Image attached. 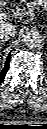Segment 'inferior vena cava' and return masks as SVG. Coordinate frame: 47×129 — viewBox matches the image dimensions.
<instances>
[{"instance_id": "inferior-vena-cava-1", "label": "inferior vena cava", "mask_w": 47, "mask_h": 129, "mask_svg": "<svg viewBox=\"0 0 47 129\" xmlns=\"http://www.w3.org/2000/svg\"><path fill=\"white\" fill-rule=\"evenodd\" d=\"M16 34L14 25L9 23H2L0 26V39H9Z\"/></svg>"}]
</instances>
